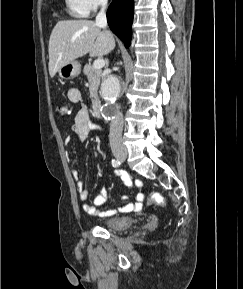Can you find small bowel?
<instances>
[{
    "instance_id": "c3829d8e",
    "label": "small bowel",
    "mask_w": 243,
    "mask_h": 289,
    "mask_svg": "<svg viewBox=\"0 0 243 289\" xmlns=\"http://www.w3.org/2000/svg\"><path fill=\"white\" fill-rule=\"evenodd\" d=\"M67 97L73 103H80L82 101L81 93L77 88H69L67 91ZM71 129L80 142L86 140L92 132H102V128L90 119L88 110L84 106L74 116ZM65 142L68 143L69 138H66ZM67 158L68 160H71L70 155H68ZM117 174L128 189L133 186L134 182L128 174L123 172H118ZM73 176L77 180V188L80 200L82 201V207L90 216L106 217L116 213L137 212L140 211L143 206L144 193L141 191L142 184L140 181L135 182V185L139 189L135 201L112 210L109 206H103L108 198V191L106 188L100 190L99 194L93 201V205H90L87 203L89 192L84 188V182L80 180L77 171H73ZM127 197V195H123L122 199H127Z\"/></svg>"
}]
</instances>
